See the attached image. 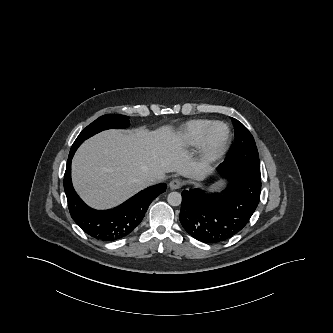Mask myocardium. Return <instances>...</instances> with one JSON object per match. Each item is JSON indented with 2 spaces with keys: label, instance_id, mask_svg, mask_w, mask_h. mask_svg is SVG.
Here are the masks:
<instances>
[{
  "label": "myocardium",
  "instance_id": "f54148a6",
  "mask_svg": "<svg viewBox=\"0 0 333 333\" xmlns=\"http://www.w3.org/2000/svg\"><path fill=\"white\" fill-rule=\"evenodd\" d=\"M218 126H222L225 129V136L219 142H217L214 139V130ZM231 137H232L231 129L225 122L222 121L213 122L209 127L202 142L200 143V150H199L200 161L205 165H209L221 159L230 146Z\"/></svg>",
  "mask_w": 333,
  "mask_h": 333
}]
</instances>
